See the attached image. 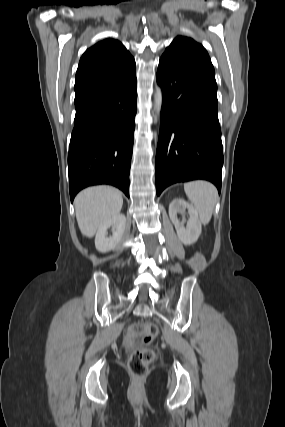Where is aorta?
Here are the masks:
<instances>
[{
	"instance_id": "762f6f07",
	"label": "aorta",
	"mask_w": 285,
	"mask_h": 427,
	"mask_svg": "<svg viewBox=\"0 0 285 427\" xmlns=\"http://www.w3.org/2000/svg\"><path fill=\"white\" fill-rule=\"evenodd\" d=\"M162 91L160 87L156 88L155 96H154V108L156 111L157 116L160 115L161 107H162Z\"/></svg>"
}]
</instances>
